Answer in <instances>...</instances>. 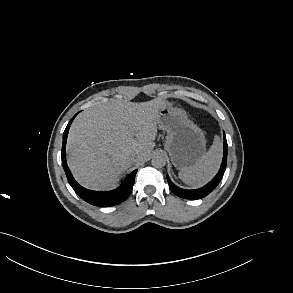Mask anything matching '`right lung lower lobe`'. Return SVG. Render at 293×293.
Instances as JSON below:
<instances>
[{"label": "right lung lower lobe", "mask_w": 293, "mask_h": 293, "mask_svg": "<svg viewBox=\"0 0 293 293\" xmlns=\"http://www.w3.org/2000/svg\"><path fill=\"white\" fill-rule=\"evenodd\" d=\"M74 117L71 119V121L69 122V124L67 125V127L63 133V145H62V151H61L62 166H63L64 171L66 173L69 184L71 185V187L74 189L75 193L78 196H80L83 200H85L86 202H88L94 206L109 207V206H114V205H117V204L123 202L132 191L137 170H134L133 172H131L126 177L124 182L118 188H116L115 190H112V191L88 190V189H85L84 187L80 186L73 178V176L67 166L66 156H65V147H66L68 130H69L70 124H71L72 120L74 119Z\"/></svg>", "instance_id": "right-lung-lower-lobe-1"}]
</instances>
